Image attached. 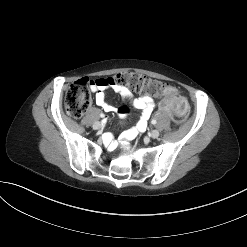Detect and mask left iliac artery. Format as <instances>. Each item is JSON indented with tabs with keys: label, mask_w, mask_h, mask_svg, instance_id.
I'll list each match as a JSON object with an SVG mask.
<instances>
[{
	"label": "left iliac artery",
	"mask_w": 247,
	"mask_h": 247,
	"mask_svg": "<svg viewBox=\"0 0 247 247\" xmlns=\"http://www.w3.org/2000/svg\"><path fill=\"white\" fill-rule=\"evenodd\" d=\"M151 123H152L153 125H155V124L157 123V121H156L155 119H152V120H151Z\"/></svg>",
	"instance_id": "1"
}]
</instances>
